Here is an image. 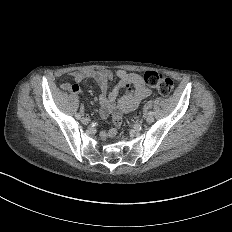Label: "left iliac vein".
Here are the masks:
<instances>
[{
	"label": "left iliac vein",
	"mask_w": 232,
	"mask_h": 232,
	"mask_svg": "<svg viewBox=\"0 0 232 232\" xmlns=\"http://www.w3.org/2000/svg\"><path fill=\"white\" fill-rule=\"evenodd\" d=\"M147 122H148L149 124H152V123L154 122V119H153L152 117H149V118L147 119Z\"/></svg>",
	"instance_id": "left-iliac-vein-1"
}]
</instances>
